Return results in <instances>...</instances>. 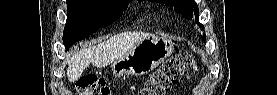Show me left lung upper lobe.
<instances>
[{"mask_svg":"<svg viewBox=\"0 0 277 95\" xmlns=\"http://www.w3.org/2000/svg\"><path fill=\"white\" fill-rule=\"evenodd\" d=\"M141 2V0H138ZM159 3H165L168 6H173L176 11L182 14L186 19H192L195 16L196 22L204 29V26L199 22L198 6L194 0H149ZM205 39V34H204Z\"/></svg>","mask_w":277,"mask_h":95,"instance_id":"obj_1","label":"left lung upper lobe"}]
</instances>
